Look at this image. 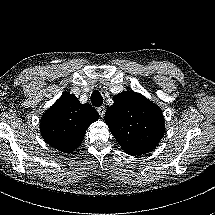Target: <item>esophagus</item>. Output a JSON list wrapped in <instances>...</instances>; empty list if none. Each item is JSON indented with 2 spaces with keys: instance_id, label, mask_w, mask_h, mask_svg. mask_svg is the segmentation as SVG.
Here are the masks:
<instances>
[{
  "instance_id": "34e87169",
  "label": "esophagus",
  "mask_w": 215,
  "mask_h": 215,
  "mask_svg": "<svg viewBox=\"0 0 215 215\" xmlns=\"http://www.w3.org/2000/svg\"><path fill=\"white\" fill-rule=\"evenodd\" d=\"M97 111H98L99 115H100L101 117H103L104 114H105L106 108H105V106H101V107H98V108H97Z\"/></svg>"
}]
</instances>
